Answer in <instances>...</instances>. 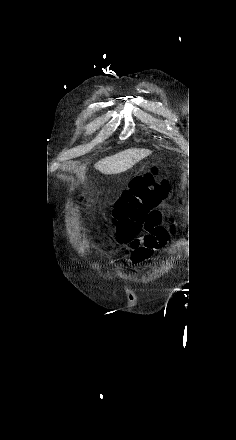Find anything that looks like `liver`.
Returning <instances> with one entry per match:
<instances>
[{
  "mask_svg": "<svg viewBox=\"0 0 236 440\" xmlns=\"http://www.w3.org/2000/svg\"><path fill=\"white\" fill-rule=\"evenodd\" d=\"M150 154L151 151L147 149H127L98 161L95 168L106 175L119 174L127 171Z\"/></svg>",
  "mask_w": 236,
  "mask_h": 440,
  "instance_id": "liver-1",
  "label": "liver"
}]
</instances>
